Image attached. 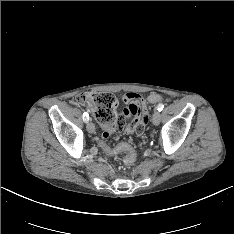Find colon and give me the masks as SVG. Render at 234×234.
<instances>
[{
	"label": "colon",
	"mask_w": 234,
	"mask_h": 234,
	"mask_svg": "<svg viewBox=\"0 0 234 234\" xmlns=\"http://www.w3.org/2000/svg\"><path fill=\"white\" fill-rule=\"evenodd\" d=\"M148 101L152 103H163L164 97L161 95L150 94L148 96ZM74 103L80 106H87L100 123L107 124L105 126L106 131L101 136L95 138L99 152L105 157H116L119 154L127 153L124 158V164L128 167L134 165L136 161V153L129 143L119 141L117 144L113 143L110 145L106 141L116 127L120 130L125 124V119L121 115L115 113L117 104L116 98L112 94L106 92L86 93L78 96L74 100ZM134 133L138 136L136 132Z\"/></svg>",
	"instance_id": "5ec220e1"
}]
</instances>
